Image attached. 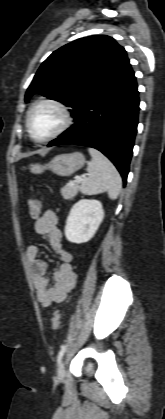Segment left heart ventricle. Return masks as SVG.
I'll return each mask as SVG.
<instances>
[{
  "label": "left heart ventricle",
  "instance_id": "left-heart-ventricle-1",
  "mask_svg": "<svg viewBox=\"0 0 165 419\" xmlns=\"http://www.w3.org/2000/svg\"><path fill=\"white\" fill-rule=\"evenodd\" d=\"M62 116L53 106L42 105L35 109L31 117V130L38 139L52 134L61 124Z\"/></svg>",
  "mask_w": 165,
  "mask_h": 419
}]
</instances>
